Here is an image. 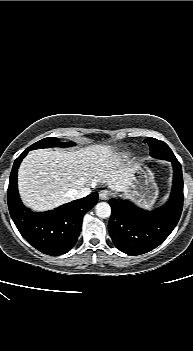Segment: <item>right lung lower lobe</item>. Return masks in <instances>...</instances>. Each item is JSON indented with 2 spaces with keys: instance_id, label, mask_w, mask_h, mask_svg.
<instances>
[{
  "instance_id": "right-lung-lower-lobe-1",
  "label": "right lung lower lobe",
  "mask_w": 193,
  "mask_h": 351,
  "mask_svg": "<svg viewBox=\"0 0 193 351\" xmlns=\"http://www.w3.org/2000/svg\"><path fill=\"white\" fill-rule=\"evenodd\" d=\"M25 150L14 162L7 191L10 215L23 238L40 252L58 256L67 253L80 234L82 217L98 201L94 192L82 199L64 204L47 212H33L26 208L17 189V171Z\"/></svg>"
}]
</instances>
